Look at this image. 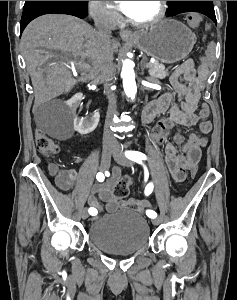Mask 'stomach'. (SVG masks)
<instances>
[{
    "label": "stomach",
    "instance_id": "1",
    "mask_svg": "<svg viewBox=\"0 0 237 300\" xmlns=\"http://www.w3.org/2000/svg\"><path fill=\"white\" fill-rule=\"evenodd\" d=\"M134 35L131 45L161 63L182 61L196 43V37L189 27L174 19H163L159 23H153L148 29L136 31Z\"/></svg>",
    "mask_w": 237,
    "mask_h": 300
}]
</instances>
